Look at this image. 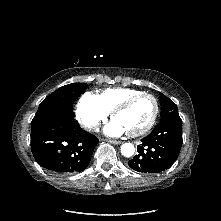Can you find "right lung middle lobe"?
<instances>
[{
    "label": "right lung middle lobe",
    "instance_id": "dd1d6c3e",
    "mask_svg": "<svg viewBox=\"0 0 221 221\" xmlns=\"http://www.w3.org/2000/svg\"><path fill=\"white\" fill-rule=\"evenodd\" d=\"M87 88L86 83H72L60 87L51 93L40 105L32 122L39 120L51 111L62 109L68 106L72 107V103Z\"/></svg>",
    "mask_w": 221,
    "mask_h": 221
}]
</instances>
